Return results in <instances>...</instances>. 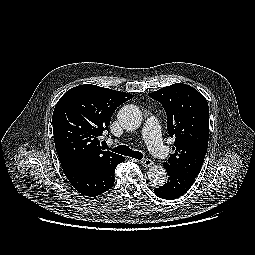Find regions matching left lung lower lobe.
<instances>
[{
	"label": "left lung lower lobe",
	"instance_id": "obj_1",
	"mask_svg": "<svg viewBox=\"0 0 255 255\" xmlns=\"http://www.w3.org/2000/svg\"><path fill=\"white\" fill-rule=\"evenodd\" d=\"M164 167L168 174V181L161 187L155 188L154 193L159 198L173 200L185 194L195 181V177L175 168L167 163Z\"/></svg>",
	"mask_w": 255,
	"mask_h": 255
}]
</instances>
